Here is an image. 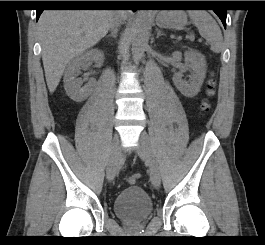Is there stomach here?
I'll use <instances>...</instances> for the list:
<instances>
[{
  "label": "stomach",
  "instance_id": "obj_1",
  "mask_svg": "<svg viewBox=\"0 0 265 245\" xmlns=\"http://www.w3.org/2000/svg\"><path fill=\"white\" fill-rule=\"evenodd\" d=\"M156 23L161 28L181 30L187 24V15L184 11H161L156 15Z\"/></svg>",
  "mask_w": 265,
  "mask_h": 245
}]
</instances>
